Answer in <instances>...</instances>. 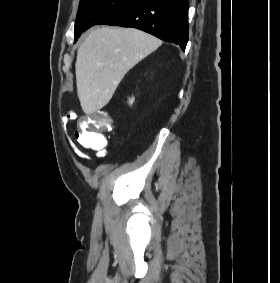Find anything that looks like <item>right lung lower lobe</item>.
<instances>
[{"label": "right lung lower lobe", "mask_w": 280, "mask_h": 283, "mask_svg": "<svg viewBox=\"0 0 280 283\" xmlns=\"http://www.w3.org/2000/svg\"><path fill=\"white\" fill-rule=\"evenodd\" d=\"M188 8V0H133L99 24L137 28L178 44L184 51L188 42Z\"/></svg>", "instance_id": "1"}]
</instances>
